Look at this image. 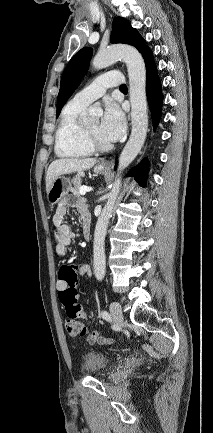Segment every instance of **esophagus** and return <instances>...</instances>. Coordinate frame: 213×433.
<instances>
[{"mask_svg": "<svg viewBox=\"0 0 213 433\" xmlns=\"http://www.w3.org/2000/svg\"><path fill=\"white\" fill-rule=\"evenodd\" d=\"M102 165L105 167H110V166H112V162L111 161H105L102 163Z\"/></svg>", "mask_w": 213, "mask_h": 433, "instance_id": "34e87169", "label": "esophagus"}]
</instances>
